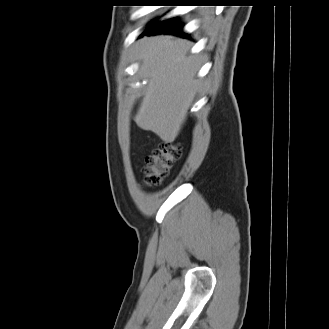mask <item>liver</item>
Masks as SVG:
<instances>
[{
  "mask_svg": "<svg viewBox=\"0 0 329 329\" xmlns=\"http://www.w3.org/2000/svg\"><path fill=\"white\" fill-rule=\"evenodd\" d=\"M137 60L148 84L134 120L141 129L171 143L198 92V57L190 54L186 40L159 35L140 41Z\"/></svg>",
  "mask_w": 329,
  "mask_h": 329,
  "instance_id": "obj_1",
  "label": "liver"
}]
</instances>
